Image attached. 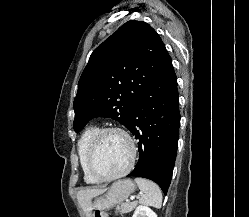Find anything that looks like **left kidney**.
Segmentation results:
<instances>
[{
  "label": "left kidney",
  "mask_w": 249,
  "mask_h": 217,
  "mask_svg": "<svg viewBox=\"0 0 249 217\" xmlns=\"http://www.w3.org/2000/svg\"><path fill=\"white\" fill-rule=\"evenodd\" d=\"M132 217H157V215L148 206L140 205L136 208Z\"/></svg>",
  "instance_id": "5707ae66"
}]
</instances>
